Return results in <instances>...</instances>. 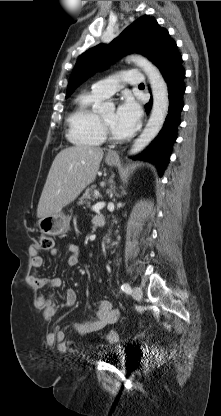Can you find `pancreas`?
<instances>
[{
  "mask_svg": "<svg viewBox=\"0 0 221 416\" xmlns=\"http://www.w3.org/2000/svg\"><path fill=\"white\" fill-rule=\"evenodd\" d=\"M95 192H97V190L95 189V187H91L86 189L85 193L83 194V196L80 198V204H88L90 205L89 200H94L95 198L100 197L99 194H96Z\"/></svg>",
  "mask_w": 221,
  "mask_h": 416,
  "instance_id": "1",
  "label": "pancreas"
}]
</instances>
